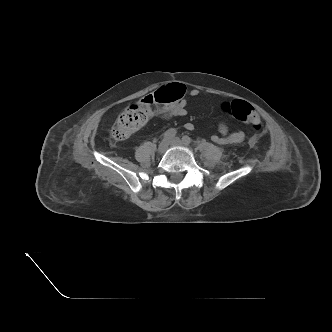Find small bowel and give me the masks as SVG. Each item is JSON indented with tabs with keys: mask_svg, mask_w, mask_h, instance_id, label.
<instances>
[{
	"mask_svg": "<svg viewBox=\"0 0 332 332\" xmlns=\"http://www.w3.org/2000/svg\"><path fill=\"white\" fill-rule=\"evenodd\" d=\"M199 93L198 89H192L190 91L192 97H197ZM155 113L157 116L165 120L185 116L187 114V102L186 100H181L174 105L162 107ZM217 127L218 134L211 135V140L219 145H236L241 143L245 138L243 131L229 132L228 125L224 121H219ZM185 128L192 131L194 130V125L192 123H186Z\"/></svg>",
	"mask_w": 332,
	"mask_h": 332,
	"instance_id": "c3829d8e",
	"label": "small bowel"
}]
</instances>
